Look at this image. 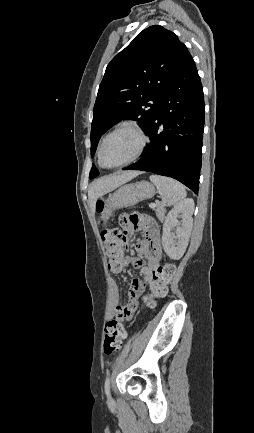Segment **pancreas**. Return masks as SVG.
I'll return each mask as SVG.
<instances>
[{
  "instance_id": "1",
  "label": "pancreas",
  "mask_w": 254,
  "mask_h": 433,
  "mask_svg": "<svg viewBox=\"0 0 254 433\" xmlns=\"http://www.w3.org/2000/svg\"><path fill=\"white\" fill-rule=\"evenodd\" d=\"M152 208L155 210L157 218L159 220H163L164 219V215L166 213L165 208L161 204H156Z\"/></svg>"
}]
</instances>
